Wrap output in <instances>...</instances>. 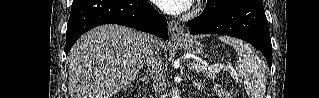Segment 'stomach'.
<instances>
[{"label":"stomach","instance_id":"0dacf381","mask_svg":"<svg viewBox=\"0 0 319 98\" xmlns=\"http://www.w3.org/2000/svg\"><path fill=\"white\" fill-rule=\"evenodd\" d=\"M178 44L189 53L196 55L204 54V44L197 37L189 36L182 38L178 41Z\"/></svg>","mask_w":319,"mask_h":98}]
</instances>
